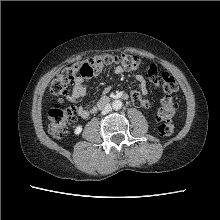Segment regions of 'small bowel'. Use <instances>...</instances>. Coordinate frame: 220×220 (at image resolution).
<instances>
[{
  "mask_svg": "<svg viewBox=\"0 0 220 220\" xmlns=\"http://www.w3.org/2000/svg\"><path fill=\"white\" fill-rule=\"evenodd\" d=\"M103 70V66L90 69L86 75H78L73 82L72 92L69 96V100L73 103L76 113L81 118H87L91 114L97 111L95 106L92 107H83L80 105L81 100L87 96L88 89L85 85V81L98 76ZM116 74L123 73V68L121 66H116L114 68ZM136 80L139 83V90H134L131 92L132 102L139 107H147L149 105L148 100L145 98L147 94V84L144 77L140 74L136 75Z\"/></svg>",
  "mask_w": 220,
  "mask_h": 220,
  "instance_id": "1",
  "label": "small bowel"
}]
</instances>
